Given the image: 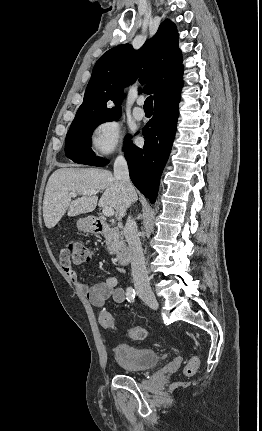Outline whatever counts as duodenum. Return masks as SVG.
<instances>
[{"label":"duodenum","instance_id":"410a0bca","mask_svg":"<svg viewBox=\"0 0 262 431\" xmlns=\"http://www.w3.org/2000/svg\"><path fill=\"white\" fill-rule=\"evenodd\" d=\"M91 225L94 229L95 232L97 233H103L105 231L109 230V224L105 221H103L102 219L99 218H93L91 220ZM117 259L118 262L122 265H126L130 262L131 260V252L127 247H123L121 248L118 252H117Z\"/></svg>","mask_w":262,"mask_h":431}]
</instances>
